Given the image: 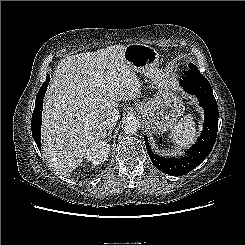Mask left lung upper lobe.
Wrapping results in <instances>:
<instances>
[{
    "label": "left lung upper lobe",
    "instance_id": "left-lung-upper-lobe-1",
    "mask_svg": "<svg viewBox=\"0 0 245 245\" xmlns=\"http://www.w3.org/2000/svg\"><path fill=\"white\" fill-rule=\"evenodd\" d=\"M190 67H196V66H195V65H193V64H189V68H190Z\"/></svg>",
    "mask_w": 245,
    "mask_h": 245
}]
</instances>
